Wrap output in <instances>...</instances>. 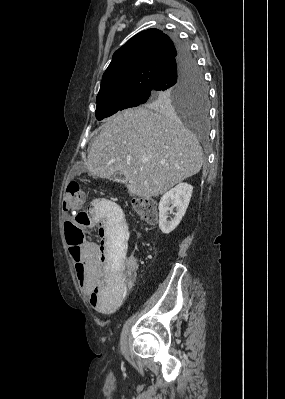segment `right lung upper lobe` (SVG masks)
I'll return each mask as SVG.
<instances>
[{
  "instance_id": "1",
  "label": "right lung upper lobe",
  "mask_w": 285,
  "mask_h": 399,
  "mask_svg": "<svg viewBox=\"0 0 285 399\" xmlns=\"http://www.w3.org/2000/svg\"><path fill=\"white\" fill-rule=\"evenodd\" d=\"M176 57L175 43L162 31L148 29L136 34L114 53L97 98L132 89H153Z\"/></svg>"
}]
</instances>
